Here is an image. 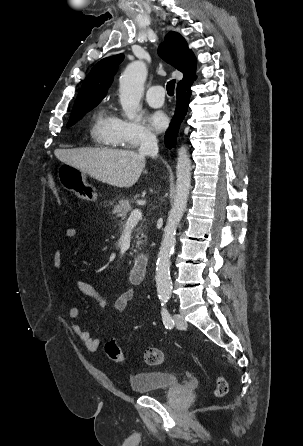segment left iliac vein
Here are the masks:
<instances>
[{"mask_svg": "<svg viewBox=\"0 0 303 446\" xmlns=\"http://www.w3.org/2000/svg\"><path fill=\"white\" fill-rule=\"evenodd\" d=\"M174 321H175V326L178 329H185L187 327V322L184 319V317L180 314H174L173 316Z\"/></svg>", "mask_w": 303, "mask_h": 446, "instance_id": "1", "label": "left iliac vein"}]
</instances>
